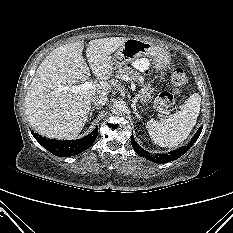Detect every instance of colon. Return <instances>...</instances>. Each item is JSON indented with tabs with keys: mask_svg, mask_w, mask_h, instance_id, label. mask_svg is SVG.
Listing matches in <instances>:
<instances>
[{
	"mask_svg": "<svg viewBox=\"0 0 233 233\" xmlns=\"http://www.w3.org/2000/svg\"><path fill=\"white\" fill-rule=\"evenodd\" d=\"M172 85L176 92H180L187 84V77L183 69L176 68L171 75ZM174 96L167 91L161 92L156 99V107L160 111H166L174 105Z\"/></svg>",
	"mask_w": 233,
	"mask_h": 233,
	"instance_id": "obj_1",
	"label": "colon"
}]
</instances>
